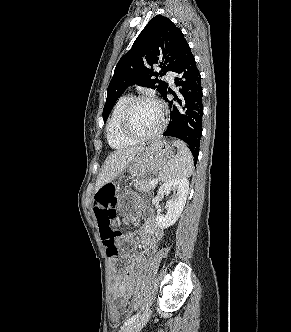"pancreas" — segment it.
I'll list each match as a JSON object with an SVG mask.
<instances>
[{
    "instance_id": "cf45deb5",
    "label": "pancreas",
    "mask_w": 291,
    "mask_h": 332,
    "mask_svg": "<svg viewBox=\"0 0 291 332\" xmlns=\"http://www.w3.org/2000/svg\"><path fill=\"white\" fill-rule=\"evenodd\" d=\"M151 181V178L136 181L134 183V188L141 192H149L150 190L154 189V187L151 186Z\"/></svg>"
}]
</instances>
